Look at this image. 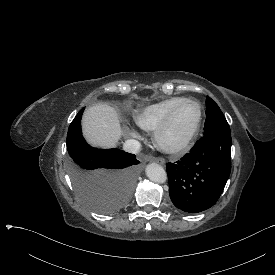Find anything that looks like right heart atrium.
<instances>
[{
    "label": "right heart atrium",
    "mask_w": 275,
    "mask_h": 275,
    "mask_svg": "<svg viewBox=\"0 0 275 275\" xmlns=\"http://www.w3.org/2000/svg\"><path fill=\"white\" fill-rule=\"evenodd\" d=\"M126 133H127V136H131V137H137L138 136V133H137L136 129L129 123H127Z\"/></svg>",
    "instance_id": "right-heart-atrium-1"
}]
</instances>
